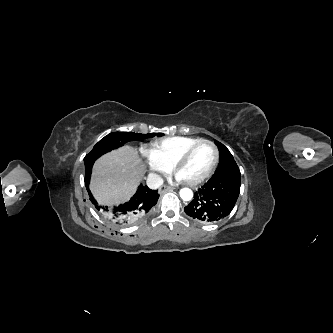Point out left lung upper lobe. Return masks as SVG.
<instances>
[{
	"label": "left lung upper lobe",
	"instance_id": "1",
	"mask_svg": "<svg viewBox=\"0 0 333 333\" xmlns=\"http://www.w3.org/2000/svg\"><path fill=\"white\" fill-rule=\"evenodd\" d=\"M220 153L219 165L215 173H219L228 168L238 167L232 154L222 143H216Z\"/></svg>",
	"mask_w": 333,
	"mask_h": 333
}]
</instances>
